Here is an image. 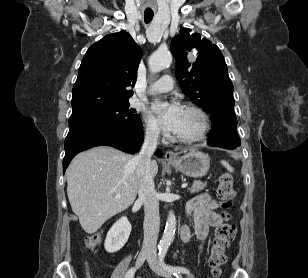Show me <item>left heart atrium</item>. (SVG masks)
Returning a JSON list of instances; mask_svg holds the SVG:
<instances>
[{"label":"left heart atrium","instance_id":"39dd6f15","mask_svg":"<svg viewBox=\"0 0 308 278\" xmlns=\"http://www.w3.org/2000/svg\"><path fill=\"white\" fill-rule=\"evenodd\" d=\"M183 108L177 103H155L151 107V113L166 130L175 132L178 130L183 114Z\"/></svg>","mask_w":308,"mask_h":278}]
</instances>
